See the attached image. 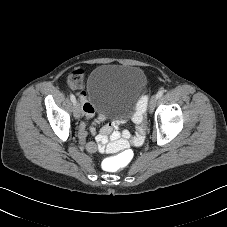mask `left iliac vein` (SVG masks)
I'll list each match as a JSON object with an SVG mask.
<instances>
[{
    "mask_svg": "<svg viewBox=\"0 0 227 227\" xmlns=\"http://www.w3.org/2000/svg\"><path fill=\"white\" fill-rule=\"evenodd\" d=\"M158 97L157 95H154L151 99H150V103H149V111L152 112L156 106Z\"/></svg>",
    "mask_w": 227,
    "mask_h": 227,
    "instance_id": "4c4485c4",
    "label": "left iliac vein"
}]
</instances>
